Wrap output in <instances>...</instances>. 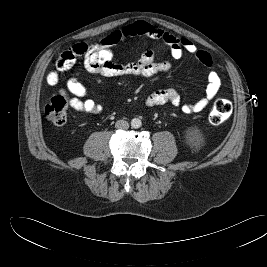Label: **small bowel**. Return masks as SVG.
Here are the masks:
<instances>
[{"label": "small bowel", "instance_id": "1", "mask_svg": "<svg viewBox=\"0 0 267 267\" xmlns=\"http://www.w3.org/2000/svg\"><path fill=\"white\" fill-rule=\"evenodd\" d=\"M135 36L162 41L168 46L170 56L174 60H178L188 53L194 55L205 66L211 67L212 65L211 55L198 49L191 40L176 37L146 21L137 20L91 44L77 43L66 49L59 56L54 69L48 73L47 83L52 86L57 85L61 75L71 69L80 57L83 58L84 67L88 72L105 77L136 76L152 78L159 73L170 71L172 62L170 60L156 61L154 51L151 49L145 50L140 59L135 62L115 63L113 61V47L117 43ZM220 88L221 78L216 71L211 70L208 73V83L204 96L192 102L183 103L179 92L174 88H160L151 92L145 103L149 107L171 104L179 107L185 114L198 113L204 110L210 101L217 96ZM60 94L68 99L71 108L75 111L97 114L103 109L101 104L86 98V87L74 77L67 80L66 87L60 90Z\"/></svg>", "mask_w": 267, "mask_h": 267}]
</instances>
